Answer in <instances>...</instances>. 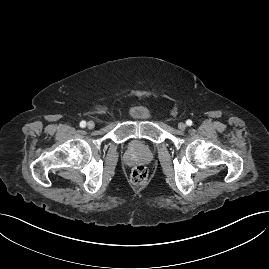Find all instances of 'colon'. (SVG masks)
<instances>
[{
  "instance_id": "obj_1",
  "label": "colon",
  "mask_w": 269,
  "mask_h": 269,
  "mask_svg": "<svg viewBox=\"0 0 269 269\" xmlns=\"http://www.w3.org/2000/svg\"><path fill=\"white\" fill-rule=\"evenodd\" d=\"M149 177V170L145 165L135 166L130 174L132 184L141 186L146 183Z\"/></svg>"
}]
</instances>
